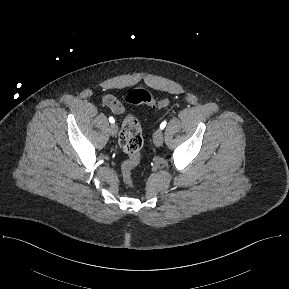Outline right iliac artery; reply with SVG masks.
<instances>
[{
  "instance_id": "82829eb1",
  "label": "right iliac artery",
  "mask_w": 289,
  "mask_h": 289,
  "mask_svg": "<svg viewBox=\"0 0 289 289\" xmlns=\"http://www.w3.org/2000/svg\"><path fill=\"white\" fill-rule=\"evenodd\" d=\"M109 121H110V123H112V124L115 122V120H114L113 117H109Z\"/></svg>"
}]
</instances>
